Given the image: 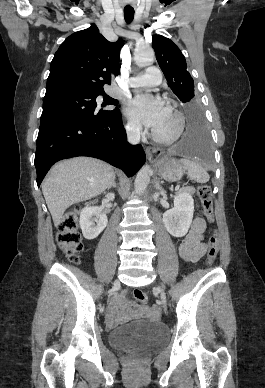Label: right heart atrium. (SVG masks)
Listing matches in <instances>:
<instances>
[{"mask_svg":"<svg viewBox=\"0 0 265 388\" xmlns=\"http://www.w3.org/2000/svg\"><path fill=\"white\" fill-rule=\"evenodd\" d=\"M128 131L133 136H140L143 133L142 127L136 122H129L127 125Z\"/></svg>","mask_w":265,"mask_h":388,"instance_id":"right-heart-atrium-1","label":"right heart atrium"}]
</instances>
